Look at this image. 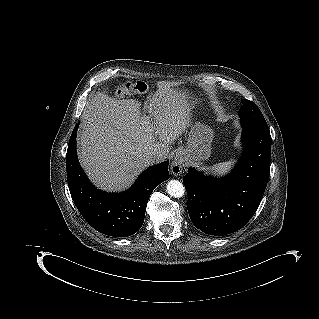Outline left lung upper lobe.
<instances>
[{
    "label": "left lung upper lobe",
    "instance_id": "1",
    "mask_svg": "<svg viewBox=\"0 0 319 319\" xmlns=\"http://www.w3.org/2000/svg\"><path fill=\"white\" fill-rule=\"evenodd\" d=\"M242 104L239 115L243 128L247 130L269 132L267 123L256 104L247 99H243Z\"/></svg>",
    "mask_w": 319,
    "mask_h": 319
}]
</instances>
